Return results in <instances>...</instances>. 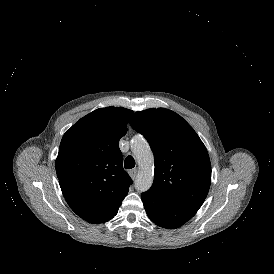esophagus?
I'll list each match as a JSON object with an SVG mask.
<instances>
[{
	"label": "esophagus",
	"mask_w": 274,
	"mask_h": 274,
	"mask_svg": "<svg viewBox=\"0 0 274 274\" xmlns=\"http://www.w3.org/2000/svg\"><path fill=\"white\" fill-rule=\"evenodd\" d=\"M138 170L137 169H132L129 171V175L132 179H135L137 177Z\"/></svg>",
	"instance_id": "obj_1"
}]
</instances>
